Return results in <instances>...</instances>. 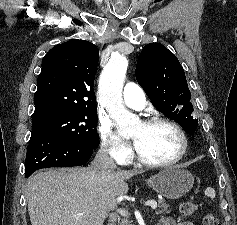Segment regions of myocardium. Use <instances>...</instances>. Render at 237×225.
Here are the masks:
<instances>
[{"instance_id": "1", "label": "myocardium", "mask_w": 237, "mask_h": 225, "mask_svg": "<svg viewBox=\"0 0 237 225\" xmlns=\"http://www.w3.org/2000/svg\"><path fill=\"white\" fill-rule=\"evenodd\" d=\"M142 124L146 127H151V126H155V125H166V126L171 127L172 129L175 130V132L179 136V139L181 142V148H180V151L178 152V154L174 158L166 160V161L146 160L138 153L137 150H135L134 158L139 164L146 166V167H151V168L169 167V166H172V165L178 163L185 156L187 149H188V140H187V136H186L185 132L183 131V129L181 128V126L178 123H176L175 121H172L170 119H167V118L154 117V118H150V119L143 121Z\"/></svg>"}]
</instances>
